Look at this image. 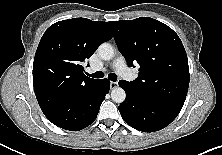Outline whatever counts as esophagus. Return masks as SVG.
<instances>
[{
  "mask_svg": "<svg viewBox=\"0 0 222 155\" xmlns=\"http://www.w3.org/2000/svg\"><path fill=\"white\" fill-rule=\"evenodd\" d=\"M117 86H118V83H117V82H111V83H110L111 89L116 88Z\"/></svg>",
  "mask_w": 222,
  "mask_h": 155,
  "instance_id": "34e87169",
  "label": "esophagus"
}]
</instances>
